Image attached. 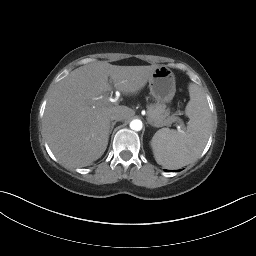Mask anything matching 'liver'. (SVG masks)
Instances as JSON below:
<instances>
[{"label":"liver","instance_id":"1","mask_svg":"<svg viewBox=\"0 0 256 256\" xmlns=\"http://www.w3.org/2000/svg\"><path fill=\"white\" fill-rule=\"evenodd\" d=\"M159 65L117 66L106 61L90 63L70 72L51 93L43 118L46 140L64 165L87 166L105 152L114 112L123 120L133 115L126 106L112 105L106 95L114 87L136 94Z\"/></svg>","mask_w":256,"mask_h":256}]
</instances>
